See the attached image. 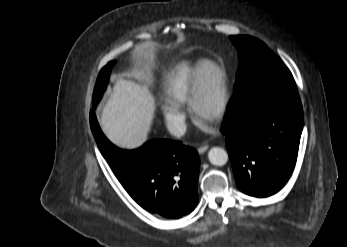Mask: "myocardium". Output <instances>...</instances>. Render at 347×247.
<instances>
[{
    "mask_svg": "<svg viewBox=\"0 0 347 247\" xmlns=\"http://www.w3.org/2000/svg\"><path fill=\"white\" fill-rule=\"evenodd\" d=\"M213 84L218 92V102L209 114L203 110V99L208 86ZM230 94L225 72L215 63L208 62L206 67L197 74L189 94L192 112L200 119L209 122L221 120L228 108Z\"/></svg>",
    "mask_w": 347,
    "mask_h": 247,
    "instance_id": "obj_1",
    "label": "myocardium"
}]
</instances>
